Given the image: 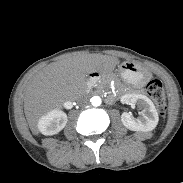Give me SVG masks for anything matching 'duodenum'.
<instances>
[{"label": "duodenum", "instance_id": "obj_1", "mask_svg": "<svg viewBox=\"0 0 183 183\" xmlns=\"http://www.w3.org/2000/svg\"><path fill=\"white\" fill-rule=\"evenodd\" d=\"M101 74L98 71H93L89 74V82L96 83L100 79Z\"/></svg>", "mask_w": 183, "mask_h": 183}]
</instances>
